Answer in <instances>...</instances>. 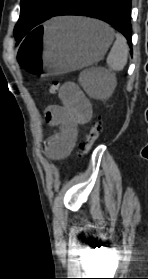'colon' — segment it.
Here are the masks:
<instances>
[{
    "label": "colon",
    "mask_w": 148,
    "mask_h": 279,
    "mask_svg": "<svg viewBox=\"0 0 148 279\" xmlns=\"http://www.w3.org/2000/svg\"><path fill=\"white\" fill-rule=\"evenodd\" d=\"M49 92L51 94H58L60 92V84L58 82H54L49 87ZM101 132V122L99 119H96L91 122L89 130L80 145V149L83 155H86L96 140L99 138Z\"/></svg>",
    "instance_id": "5ec220e1"
}]
</instances>
